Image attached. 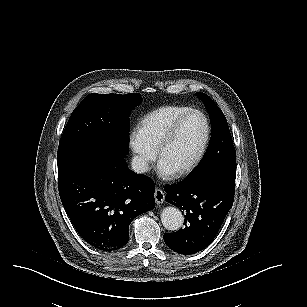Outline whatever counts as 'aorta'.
<instances>
[{"instance_id":"obj_1","label":"aorta","mask_w":307,"mask_h":307,"mask_svg":"<svg viewBox=\"0 0 307 307\" xmlns=\"http://www.w3.org/2000/svg\"><path fill=\"white\" fill-rule=\"evenodd\" d=\"M163 226L168 230H178L184 221L181 211L174 206H165L160 212Z\"/></svg>"}]
</instances>
